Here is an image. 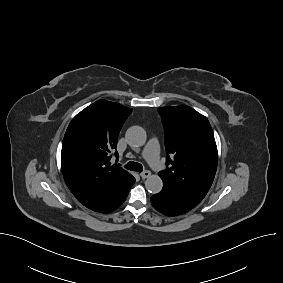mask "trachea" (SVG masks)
<instances>
[{"label":"trachea","mask_w":283,"mask_h":283,"mask_svg":"<svg viewBox=\"0 0 283 283\" xmlns=\"http://www.w3.org/2000/svg\"><path fill=\"white\" fill-rule=\"evenodd\" d=\"M125 168L131 171H137V172H142L143 171V166L140 163H136L133 161L128 162L125 165Z\"/></svg>","instance_id":"1"}]
</instances>
